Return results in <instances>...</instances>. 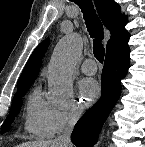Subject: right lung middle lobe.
I'll list each match as a JSON object with an SVG mask.
<instances>
[{
  "instance_id": "right-lung-middle-lobe-1",
  "label": "right lung middle lobe",
  "mask_w": 145,
  "mask_h": 147,
  "mask_svg": "<svg viewBox=\"0 0 145 147\" xmlns=\"http://www.w3.org/2000/svg\"><path fill=\"white\" fill-rule=\"evenodd\" d=\"M30 86L24 87L21 89H17V93L15 94L12 102V107L9 112V115L7 116L5 122L2 125L1 131L4 133L8 130L10 127L11 123L13 122L15 116L19 113L20 108L22 106V96L25 95L27 90L29 89Z\"/></svg>"
}]
</instances>
